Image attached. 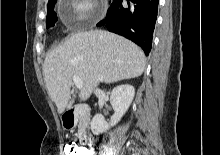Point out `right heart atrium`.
Returning a JSON list of instances; mask_svg holds the SVG:
<instances>
[{
	"instance_id": "1",
	"label": "right heart atrium",
	"mask_w": 220,
	"mask_h": 155,
	"mask_svg": "<svg viewBox=\"0 0 220 155\" xmlns=\"http://www.w3.org/2000/svg\"><path fill=\"white\" fill-rule=\"evenodd\" d=\"M73 19L78 26H89L99 18L98 0H73Z\"/></svg>"
}]
</instances>
